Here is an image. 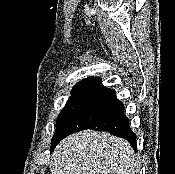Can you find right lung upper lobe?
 I'll list each match as a JSON object with an SVG mask.
<instances>
[{"label": "right lung upper lobe", "instance_id": "cb5924a9", "mask_svg": "<svg viewBox=\"0 0 175 174\" xmlns=\"http://www.w3.org/2000/svg\"><path fill=\"white\" fill-rule=\"evenodd\" d=\"M101 85L99 77H88L78 82L72 89L71 94H90Z\"/></svg>", "mask_w": 175, "mask_h": 174}]
</instances>
